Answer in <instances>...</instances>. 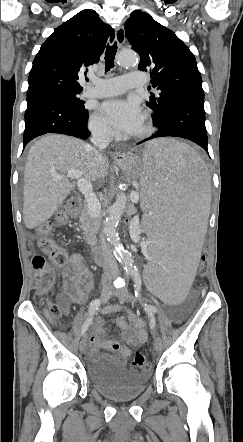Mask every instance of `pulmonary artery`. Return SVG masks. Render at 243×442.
Instances as JSON below:
<instances>
[{
  "label": "pulmonary artery",
  "mask_w": 243,
  "mask_h": 442,
  "mask_svg": "<svg viewBox=\"0 0 243 442\" xmlns=\"http://www.w3.org/2000/svg\"><path fill=\"white\" fill-rule=\"evenodd\" d=\"M146 79L143 74L128 72L123 76L106 79L91 78L90 86L84 91L85 97H109L123 93L127 89L144 85Z\"/></svg>",
  "instance_id": "e3ab8cb5"
}]
</instances>
